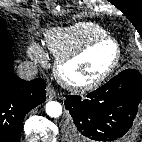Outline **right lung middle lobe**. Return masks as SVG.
I'll return each instance as SVG.
<instances>
[{
	"label": "right lung middle lobe",
	"instance_id": "1",
	"mask_svg": "<svg viewBox=\"0 0 142 142\" xmlns=\"http://www.w3.org/2000/svg\"><path fill=\"white\" fill-rule=\"evenodd\" d=\"M11 42L8 37L6 21L0 17V50L11 51Z\"/></svg>",
	"mask_w": 142,
	"mask_h": 142
}]
</instances>
